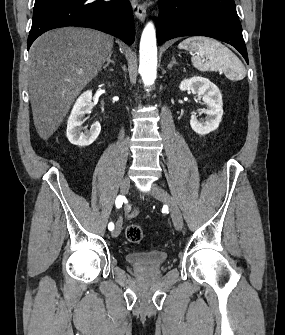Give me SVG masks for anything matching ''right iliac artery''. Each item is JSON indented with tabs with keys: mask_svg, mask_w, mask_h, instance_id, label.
I'll return each instance as SVG.
<instances>
[{
	"mask_svg": "<svg viewBox=\"0 0 285 335\" xmlns=\"http://www.w3.org/2000/svg\"><path fill=\"white\" fill-rule=\"evenodd\" d=\"M123 201H124V196L119 195V196L116 198V201H115L116 207H117V208L122 207ZM108 229H109L110 231L114 229V224H113L112 222H110V223L108 224Z\"/></svg>",
	"mask_w": 285,
	"mask_h": 335,
	"instance_id": "82829eb1",
	"label": "right iliac artery"
}]
</instances>
